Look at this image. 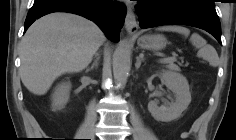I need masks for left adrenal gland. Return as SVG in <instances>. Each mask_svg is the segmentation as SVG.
<instances>
[{
	"label": "left adrenal gland",
	"mask_w": 236,
	"mask_h": 140,
	"mask_svg": "<svg viewBox=\"0 0 236 140\" xmlns=\"http://www.w3.org/2000/svg\"><path fill=\"white\" fill-rule=\"evenodd\" d=\"M136 59L137 60H136L135 67H136V69H138L141 66L142 61H144V58L143 57H137Z\"/></svg>",
	"instance_id": "1"
}]
</instances>
